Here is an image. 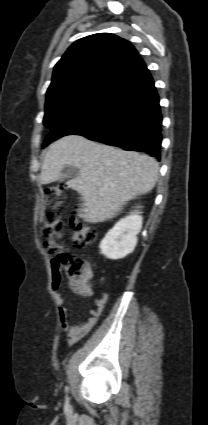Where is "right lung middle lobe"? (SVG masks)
Returning <instances> with one entry per match:
<instances>
[{
  "label": "right lung middle lobe",
  "instance_id": "dd1d6c3e",
  "mask_svg": "<svg viewBox=\"0 0 208 425\" xmlns=\"http://www.w3.org/2000/svg\"><path fill=\"white\" fill-rule=\"evenodd\" d=\"M103 92V89L80 90L46 102L45 116L43 119L44 125L51 127L58 118L88 106L98 99ZM48 144L49 141L45 140L43 146L45 147Z\"/></svg>",
  "mask_w": 208,
  "mask_h": 425
}]
</instances>
